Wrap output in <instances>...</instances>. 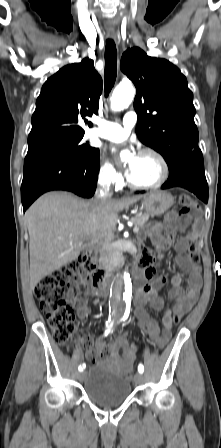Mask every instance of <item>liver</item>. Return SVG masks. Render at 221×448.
I'll list each match as a JSON object with an SVG mask.
<instances>
[{"mask_svg":"<svg viewBox=\"0 0 221 448\" xmlns=\"http://www.w3.org/2000/svg\"><path fill=\"white\" fill-rule=\"evenodd\" d=\"M141 198L128 196L97 203L66 192H49L26 211L30 250V286L76 260L80 253L104 242L114 231L118 212Z\"/></svg>","mask_w":221,"mask_h":448,"instance_id":"liver-1","label":"liver"}]
</instances>
